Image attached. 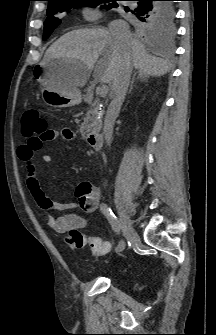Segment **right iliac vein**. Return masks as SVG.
Listing matches in <instances>:
<instances>
[{"label":"right iliac vein","instance_id":"63e3f726","mask_svg":"<svg viewBox=\"0 0 216 335\" xmlns=\"http://www.w3.org/2000/svg\"><path fill=\"white\" fill-rule=\"evenodd\" d=\"M119 217H120L122 235L126 237L132 233V226H131L130 218L123 210L120 211Z\"/></svg>","mask_w":216,"mask_h":335}]
</instances>
